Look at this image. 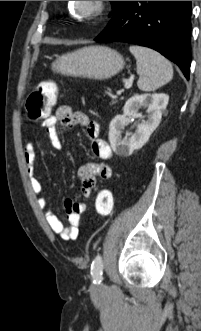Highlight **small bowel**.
Segmentation results:
<instances>
[{"label": "small bowel", "instance_id": "obj_1", "mask_svg": "<svg viewBox=\"0 0 201 331\" xmlns=\"http://www.w3.org/2000/svg\"><path fill=\"white\" fill-rule=\"evenodd\" d=\"M59 125L64 128H71L75 125L84 127L87 137L92 142V152L103 161L98 163L85 162L78 170L81 194L83 197L88 198L96 186L97 178L109 179L112 176V168L106 162L112 158L111 147L105 140L99 138L100 127L97 122L81 111H73L70 106L62 105L58 107L55 114L49 115L42 123L51 145L55 149L62 148V141L58 133ZM24 158L31 187L37 196L39 206L44 211L46 221L51 230L63 240L71 241L77 239L81 215L86 209L85 203L71 199L65 201L64 210L67 214L68 225L64 226L49 208L42 184L36 176L34 168L36 146L34 143L29 142L24 146Z\"/></svg>", "mask_w": 201, "mask_h": 331}]
</instances>
